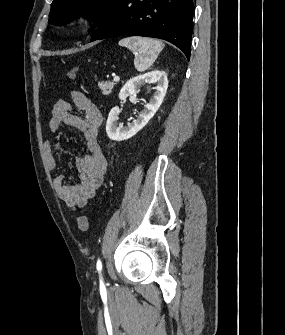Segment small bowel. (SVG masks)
<instances>
[{"instance_id":"c3829d8e","label":"small bowel","mask_w":285,"mask_h":335,"mask_svg":"<svg viewBox=\"0 0 285 335\" xmlns=\"http://www.w3.org/2000/svg\"><path fill=\"white\" fill-rule=\"evenodd\" d=\"M72 106L65 99H58L52 108L49 130L58 131L67 125L83 133L87 154L76 157L75 165L79 180L67 184L63 175H57L53 184L59 198L72 210L84 207L101 186L107 171V159L99 144V128L103 117L99 108L82 92L73 91ZM46 161L50 169L58 166L54 146L51 142L44 145Z\"/></svg>"}]
</instances>
